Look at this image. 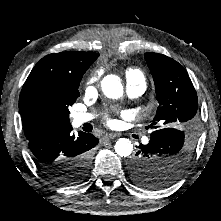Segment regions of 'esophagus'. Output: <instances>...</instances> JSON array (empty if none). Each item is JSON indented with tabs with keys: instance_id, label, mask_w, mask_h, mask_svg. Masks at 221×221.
I'll return each mask as SVG.
<instances>
[{
	"instance_id": "34e87169",
	"label": "esophagus",
	"mask_w": 221,
	"mask_h": 221,
	"mask_svg": "<svg viewBox=\"0 0 221 221\" xmlns=\"http://www.w3.org/2000/svg\"><path fill=\"white\" fill-rule=\"evenodd\" d=\"M115 137H117L116 134H108V135L103 136L101 141L102 142H107V141H110V140L114 139Z\"/></svg>"
}]
</instances>
